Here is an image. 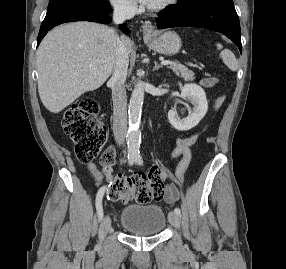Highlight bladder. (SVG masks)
I'll return each mask as SVG.
<instances>
[{"mask_svg": "<svg viewBox=\"0 0 286 269\" xmlns=\"http://www.w3.org/2000/svg\"><path fill=\"white\" fill-rule=\"evenodd\" d=\"M119 223L130 233L155 235L164 230L166 214L157 205L131 204L122 209Z\"/></svg>", "mask_w": 286, "mask_h": 269, "instance_id": "31cf9c89", "label": "bladder"}]
</instances>
